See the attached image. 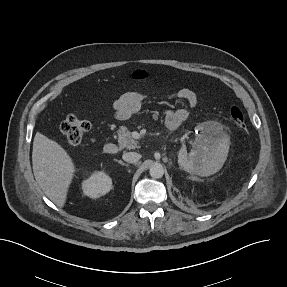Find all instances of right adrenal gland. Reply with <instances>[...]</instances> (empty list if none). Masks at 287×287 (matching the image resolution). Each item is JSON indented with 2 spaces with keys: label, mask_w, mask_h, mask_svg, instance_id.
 <instances>
[{
  "label": "right adrenal gland",
  "mask_w": 287,
  "mask_h": 287,
  "mask_svg": "<svg viewBox=\"0 0 287 287\" xmlns=\"http://www.w3.org/2000/svg\"><path fill=\"white\" fill-rule=\"evenodd\" d=\"M120 164H122V165H126L125 163H123V162H120Z\"/></svg>",
  "instance_id": "right-adrenal-gland-1"
}]
</instances>
